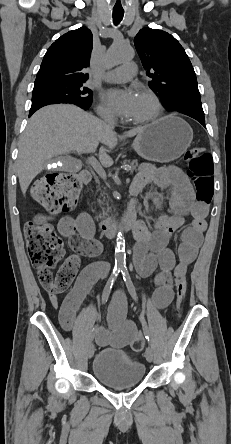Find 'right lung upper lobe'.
<instances>
[{
    "label": "right lung upper lobe",
    "instance_id": "cb5924a9",
    "mask_svg": "<svg viewBox=\"0 0 231 444\" xmlns=\"http://www.w3.org/2000/svg\"><path fill=\"white\" fill-rule=\"evenodd\" d=\"M92 51V33L86 27L72 30L58 38L47 50L37 73L34 87L51 83H80Z\"/></svg>",
    "mask_w": 231,
    "mask_h": 444
}]
</instances>
